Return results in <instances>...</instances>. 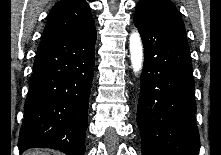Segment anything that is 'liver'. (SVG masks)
I'll use <instances>...</instances> for the list:
<instances>
[{
  "label": "liver",
  "instance_id": "1",
  "mask_svg": "<svg viewBox=\"0 0 221 155\" xmlns=\"http://www.w3.org/2000/svg\"><path fill=\"white\" fill-rule=\"evenodd\" d=\"M48 152H43L41 150H29L27 152H25V155H47Z\"/></svg>",
  "mask_w": 221,
  "mask_h": 155
}]
</instances>
